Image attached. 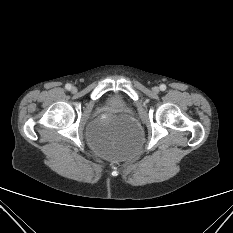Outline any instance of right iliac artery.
Wrapping results in <instances>:
<instances>
[{"instance_id":"1","label":"right iliac artery","mask_w":233,"mask_h":233,"mask_svg":"<svg viewBox=\"0 0 233 233\" xmlns=\"http://www.w3.org/2000/svg\"><path fill=\"white\" fill-rule=\"evenodd\" d=\"M65 88H66L67 90H71L72 86H71V84H66V85H65Z\"/></svg>"}]
</instances>
